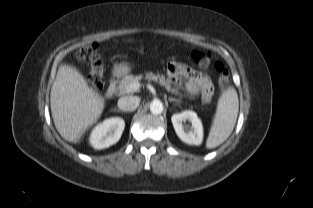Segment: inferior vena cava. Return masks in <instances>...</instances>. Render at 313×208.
<instances>
[{"label": "inferior vena cava", "mask_w": 313, "mask_h": 208, "mask_svg": "<svg viewBox=\"0 0 313 208\" xmlns=\"http://www.w3.org/2000/svg\"><path fill=\"white\" fill-rule=\"evenodd\" d=\"M140 103V99L136 96H125L118 100V107L123 111H134Z\"/></svg>", "instance_id": "inferior-vena-cava-1"}]
</instances>
